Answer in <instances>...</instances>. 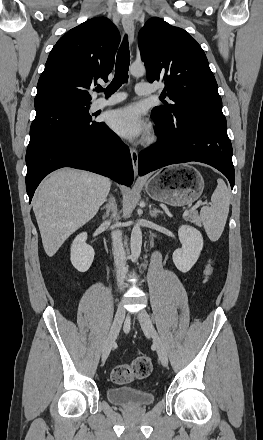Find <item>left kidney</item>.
Instances as JSON below:
<instances>
[{
    "mask_svg": "<svg viewBox=\"0 0 263 440\" xmlns=\"http://www.w3.org/2000/svg\"><path fill=\"white\" fill-rule=\"evenodd\" d=\"M182 248L173 252V262L183 273L188 272L197 262L203 249V237L199 230L189 225H182L178 230Z\"/></svg>",
    "mask_w": 263,
    "mask_h": 440,
    "instance_id": "obj_1",
    "label": "left kidney"
}]
</instances>
